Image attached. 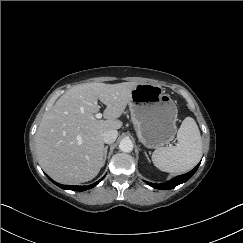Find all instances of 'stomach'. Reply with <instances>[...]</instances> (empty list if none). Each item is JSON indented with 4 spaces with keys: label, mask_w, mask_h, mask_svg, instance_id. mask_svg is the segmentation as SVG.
Returning a JSON list of instances; mask_svg holds the SVG:
<instances>
[{
    "label": "stomach",
    "mask_w": 243,
    "mask_h": 243,
    "mask_svg": "<svg viewBox=\"0 0 243 243\" xmlns=\"http://www.w3.org/2000/svg\"><path fill=\"white\" fill-rule=\"evenodd\" d=\"M128 105L137 137L146 148H160L175 137L178 109L161 86L137 84Z\"/></svg>",
    "instance_id": "0dacf381"
}]
</instances>
